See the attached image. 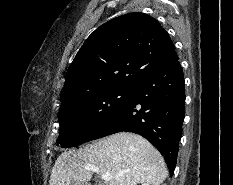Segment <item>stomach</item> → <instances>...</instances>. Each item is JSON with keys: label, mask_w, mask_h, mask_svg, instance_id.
<instances>
[{"label": "stomach", "mask_w": 233, "mask_h": 185, "mask_svg": "<svg viewBox=\"0 0 233 185\" xmlns=\"http://www.w3.org/2000/svg\"><path fill=\"white\" fill-rule=\"evenodd\" d=\"M71 185H86V184L82 182H73Z\"/></svg>", "instance_id": "1"}]
</instances>
